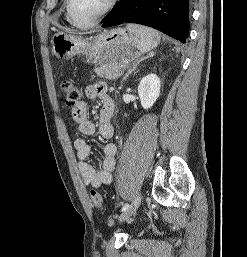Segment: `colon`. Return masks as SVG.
I'll return each mask as SVG.
<instances>
[{
	"label": "colon",
	"instance_id": "obj_1",
	"mask_svg": "<svg viewBox=\"0 0 247 257\" xmlns=\"http://www.w3.org/2000/svg\"><path fill=\"white\" fill-rule=\"evenodd\" d=\"M61 89L67 105L74 106L80 102L82 98V89L79 85L75 84L71 80H64L61 83ZM90 195L93 207L95 209L102 210L104 208V200L102 195L95 190H92Z\"/></svg>",
	"mask_w": 247,
	"mask_h": 257
}]
</instances>
